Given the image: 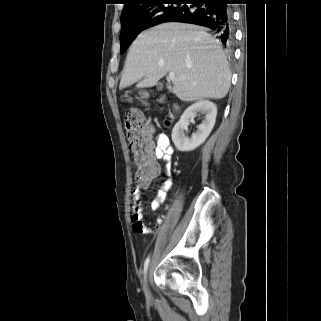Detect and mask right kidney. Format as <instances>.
<instances>
[{"instance_id":"ca27d5eb","label":"right kidney","mask_w":321,"mask_h":321,"mask_svg":"<svg viewBox=\"0 0 321 321\" xmlns=\"http://www.w3.org/2000/svg\"><path fill=\"white\" fill-rule=\"evenodd\" d=\"M197 112L205 114V119L197 127V131L189 138L185 132L189 125V119H193ZM217 115L216 105L209 100H200L189 106L182 114L180 120L172 130V141L179 151H192L200 146L211 133Z\"/></svg>"}]
</instances>
